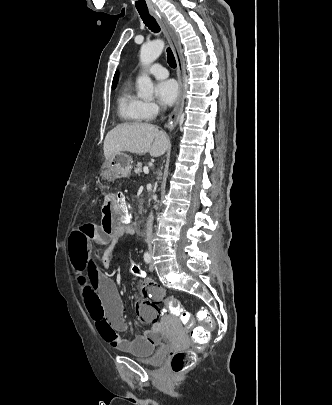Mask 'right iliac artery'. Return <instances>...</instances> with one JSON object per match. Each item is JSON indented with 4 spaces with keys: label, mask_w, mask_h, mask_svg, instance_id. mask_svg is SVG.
<instances>
[{
    "label": "right iliac artery",
    "mask_w": 332,
    "mask_h": 405,
    "mask_svg": "<svg viewBox=\"0 0 332 405\" xmlns=\"http://www.w3.org/2000/svg\"><path fill=\"white\" fill-rule=\"evenodd\" d=\"M144 260H145L146 263H150L151 256H150V254L148 252L144 253Z\"/></svg>",
    "instance_id": "82829eb1"
}]
</instances>
